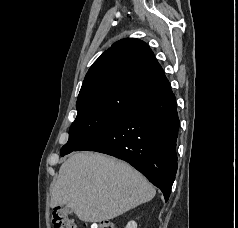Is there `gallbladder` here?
<instances>
[{
    "label": "gallbladder",
    "mask_w": 238,
    "mask_h": 228,
    "mask_svg": "<svg viewBox=\"0 0 238 228\" xmlns=\"http://www.w3.org/2000/svg\"><path fill=\"white\" fill-rule=\"evenodd\" d=\"M66 211L68 212V213H72L73 212V210L71 209V208H66Z\"/></svg>",
    "instance_id": "obj_1"
}]
</instances>
